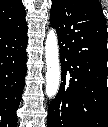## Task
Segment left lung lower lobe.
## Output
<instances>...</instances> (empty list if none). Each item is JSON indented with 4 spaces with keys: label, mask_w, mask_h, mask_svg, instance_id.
Here are the masks:
<instances>
[{
    "label": "left lung lower lobe",
    "mask_w": 108,
    "mask_h": 127,
    "mask_svg": "<svg viewBox=\"0 0 108 127\" xmlns=\"http://www.w3.org/2000/svg\"><path fill=\"white\" fill-rule=\"evenodd\" d=\"M58 34L61 85L47 127H108L107 26L97 0H52ZM76 68L73 79L69 69Z\"/></svg>",
    "instance_id": "obj_1"
}]
</instances>
